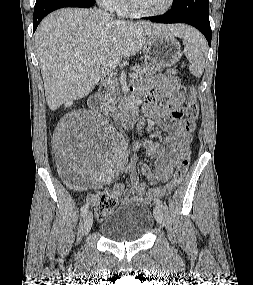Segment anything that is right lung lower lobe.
I'll use <instances>...</instances> for the list:
<instances>
[{
    "instance_id": "right-lung-lower-lobe-1",
    "label": "right lung lower lobe",
    "mask_w": 253,
    "mask_h": 285,
    "mask_svg": "<svg viewBox=\"0 0 253 285\" xmlns=\"http://www.w3.org/2000/svg\"><path fill=\"white\" fill-rule=\"evenodd\" d=\"M95 4V0H36L33 16V32L40 21L50 12L63 7L89 8Z\"/></svg>"
}]
</instances>
